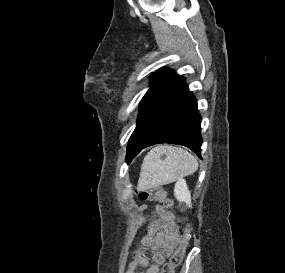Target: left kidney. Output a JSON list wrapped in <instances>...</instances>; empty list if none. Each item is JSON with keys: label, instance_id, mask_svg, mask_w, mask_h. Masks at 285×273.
Instances as JSON below:
<instances>
[{"label": "left kidney", "instance_id": "obj_1", "mask_svg": "<svg viewBox=\"0 0 285 273\" xmlns=\"http://www.w3.org/2000/svg\"><path fill=\"white\" fill-rule=\"evenodd\" d=\"M174 196L179 202H185L189 207L191 206V194L184 179L175 184Z\"/></svg>", "mask_w": 285, "mask_h": 273}]
</instances>
